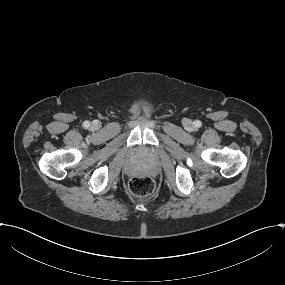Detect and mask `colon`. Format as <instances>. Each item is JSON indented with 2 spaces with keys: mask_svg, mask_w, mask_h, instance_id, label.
Segmentation results:
<instances>
[{
  "mask_svg": "<svg viewBox=\"0 0 285 285\" xmlns=\"http://www.w3.org/2000/svg\"><path fill=\"white\" fill-rule=\"evenodd\" d=\"M129 189L135 196H149L155 190V182L150 177L135 176L129 181Z\"/></svg>",
  "mask_w": 285,
  "mask_h": 285,
  "instance_id": "colon-1",
  "label": "colon"
}]
</instances>
